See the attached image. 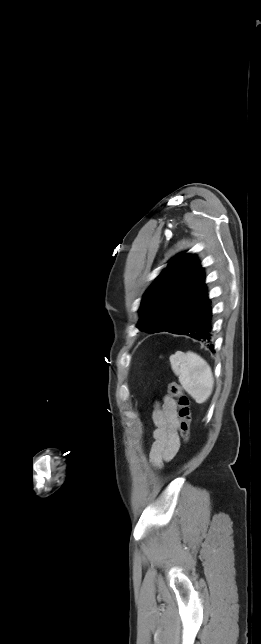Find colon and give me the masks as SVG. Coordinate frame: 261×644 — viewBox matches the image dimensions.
<instances>
[{
  "label": "colon",
  "instance_id": "obj_1",
  "mask_svg": "<svg viewBox=\"0 0 261 644\" xmlns=\"http://www.w3.org/2000/svg\"><path fill=\"white\" fill-rule=\"evenodd\" d=\"M169 393L177 400V415L179 420V430L181 437L187 441L190 436L191 425V409L189 398L184 394L182 387L176 383L171 382L168 386Z\"/></svg>",
  "mask_w": 261,
  "mask_h": 644
}]
</instances>
